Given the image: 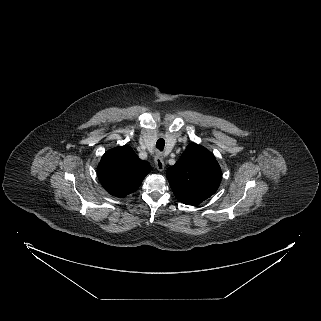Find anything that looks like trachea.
Returning <instances> with one entry per match:
<instances>
[{
	"instance_id": "1",
	"label": "trachea",
	"mask_w": 321,
	"mask_h": 321,
	"mask_svg": "<svg viewBox=\"0 0 321 321\" xmlns=\"http://www.w3.org/2000/svg\"><path fill=\"white\" fill-rule=\"evenodd\" d=\"M165 146V140L163 138H159L156 142V148L161 152L163 151Z\"/></svg>"
}]
</instances>
